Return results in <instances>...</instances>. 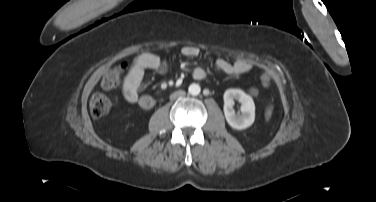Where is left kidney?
<instances>
[{
    "instance_id": "left-kidney-1",
    "label": "left kidney",
    "mask_w": 376,
    "mask_h": 202,
    "mask_svg": "<svg viewBox=\"0 0 376 202\" xmlns=\"http://www.w3.org/2000/svg\"><path fill=\"white\" fill-rule=\"evenodd\" d=\"M224 114L228 124L237 130L250 127L255 120V104L253 99L240 89H227L223 95ZM234 100L241 103V114H236Z\"/></svg>"
}]
</instances>
